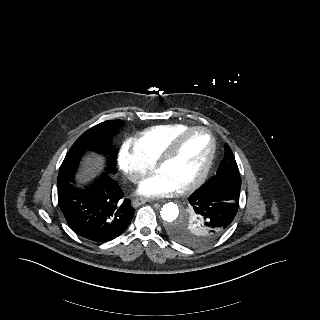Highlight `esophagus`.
I'll list each match as a JSON object with an SVG mask.
<instances>
[{
  "label": "esophagus",
  "mask_w": 320,
  "mask_h": 320,
  "mask_svg": "<svg viewBox=\"0 0 320 320\" xmlns=\"http://www.w3.org/2000/svg\"><path fill=\"white\" fill-rule=\"evenodd\" d=\"M149 201H150V200L147 199V198L139 197V198L134 199L133 205H134L135 207H137V206H140V205H142V204H145V203H147V202H149Z\"/></svg>",
  "instance_id": "1"
}]
</instances>
